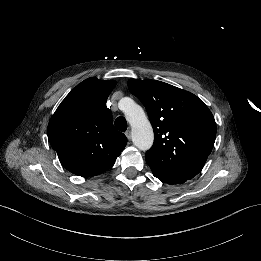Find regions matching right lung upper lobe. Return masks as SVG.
I'll return each instance as SVG.
<instances>
[{"instance_id": "cb5924a9", "label": "right lung upper lobe", "mask_w": 261, "mask_h": 261, "mask_svg": "<svg viewBox=\"0 0 261 261\" xmlns=\"http://www.w3.org/2000/svg\"><path fill=\"white\" fill-rule=\"evenodd\" d=\"M116 82L88 78L78 84L52 116L48 138L61 164L70 172L90 177L113 166L127 144L113 126L107 98Z\"/></svg>"}]
</instances>
